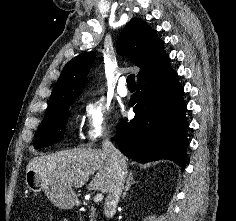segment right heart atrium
<instances>
[{
	"label": "right heart atrium",
	"instance_id": "1",
	"mask_svg": "<svg viewBox=\"0 0 236 221\" xmlns=\"http://www.w3.org/2000/svg\"><path fill=\"white\" fill-rule=\"evenodd\" d=\"M113 129L112 109L101 99H89L84 105L83 138L96 142Z\"/></svg>",
	"mask_w": 236,
	"mask_h": 221
}]
</instances>
